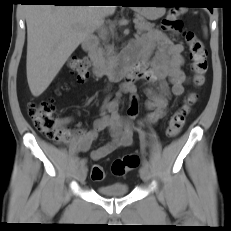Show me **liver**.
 Returning <instances> with one entry per match:
<instances>
[{"label":"liver","mask_w":231,"mask_h":231,"mask_svg":"<svg viewBox=\"0 0 231 231\" xmlns=\"http://www.w3.org/2000/svg\"><path fill=\"white\" fill-rule=\"evenodd\" d=\"M116 6L24 7L27 24L26 71L29 89L40 96L77 47L101 26Z\"/></svg>","instance_id":"obj_1"}]
</instances>
